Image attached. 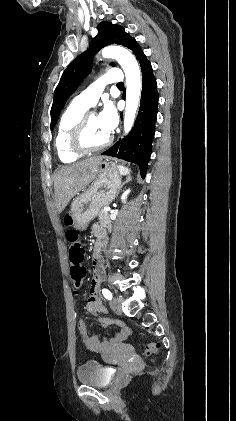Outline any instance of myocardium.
<instances>
[{"label": "myocardium", "instance_id": "1", "mask_svg": "<svg viewBox=\"0 0 236 421\" xmlns=\"http://www.w3.org/2000/svg\"><path fill=\"white\" fill-rule=\"evenodd\" d=\"M91 113L92 112H84L74 123L69 133L70 147L74 152L80 155H85L102 150L105 147H107L112 141V136L109 134L107 139L99 145L89 146L85 143L84 128Z\"/></svg>", "mask_w": 236, "mask_h": 421}]
</instances>
